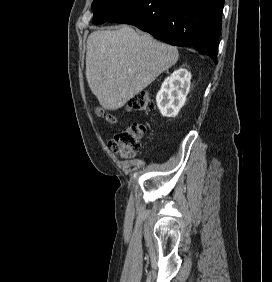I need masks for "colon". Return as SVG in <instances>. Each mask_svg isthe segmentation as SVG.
<instances>
[{
    "label": "colon",
    "mask_w": 272,
    "mask_h": 282,
    "mask_svg": "<svg viewBox=\"0 0 272 282\" xmlns=\"http://www.w3.org/2000/svg\"><path fill=\"white\" fill-rule=\"evenodd\" d=\"M154 109V102L149 94L135 95L127 104L128 112H149ZM102 114V113H101ZM110 122H116L117 118L110 114H104ZM147 126L144 123L134 122L116 132L108 142L110 149L123 158L135 157L141 147Z\"/></svg>",
    "instance_id": "5ec220e1"
}]
</instances>
